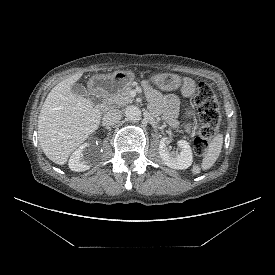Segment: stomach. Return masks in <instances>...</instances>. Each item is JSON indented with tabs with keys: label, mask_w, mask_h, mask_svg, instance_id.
<instances>
[{
	"label": "stomach",
	"mask_w": 275,
	"mask_h": 275,
	"mask_svg": "<svg viewBox=\"0 0 275 275\" xmlns=\"http://www.w3.org/2000/svg\"><path fill=\"white\" fill-rule=\"evenodd\" d=\"M134 79L135 74L132 71L123 70L108 75H95L90 78L88 84L94 92L111 95L130 85ZM150 80L161 89L168 91L177 89L182 82V78L173 73H159L153 75ZM192 115H194V110L191 108L187 111V116Z\"/></svg>",
	"instance_id": "obj_1"
}]
</instances>
